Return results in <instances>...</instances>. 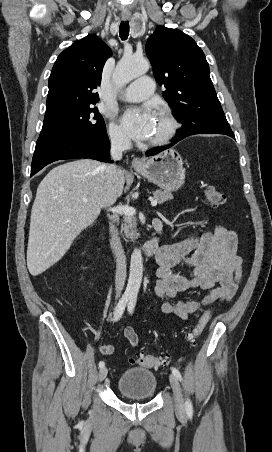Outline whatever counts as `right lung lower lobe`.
I'll return each instance as SVG.
<instances>
[{
  "label": "right lung lower lobe",
  "mask_w": 272,
  "mask_h": 452,
  "mask_svg": "<svg viewBox=\"0 0 272 452\" xmlns=\"http://www.w3.org/2000/svg\"><path fill=\"white\" fill-rule=\"evenodd\" d=\"M110 143L102 136H48L39 137L31 165V176L46 165L63 159L90 158L112 163Z\"/></svg>",
  "instance_id": "98d812e1"
}]
</instances>
